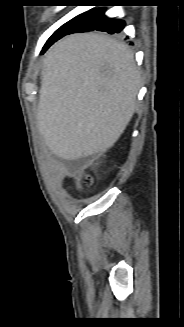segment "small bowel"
I'll return each instance as SVG.
<instances>
[{
	"instance_id": "obj_1",
	"label": "small bowel",
	"mask_w": 184,
	"mask_h": 327,
	"mask_svg": "<svg viewBox=\"0 0 184 327\" xmlns=\"http://www.w3.org/2000/svg\"><path fill=\"white\" fill-rule=\"evenodd\" d=\"M75 170L73 165L58 164L53 168L55 178L58 181H64Z\"/></svg>"
}]
</instances>
